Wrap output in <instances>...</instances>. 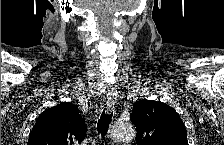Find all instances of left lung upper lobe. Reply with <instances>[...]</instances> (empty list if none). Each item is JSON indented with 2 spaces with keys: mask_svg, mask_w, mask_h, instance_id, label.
<instances>
[{
  "mask_svg": "<svg viewBox=\"0 0 224 145\" xmlns=\"http://www.w3.org/2000/svg\"><path fill=\"white\" fill-rule=\"evenodd\" d=\"M131 121L137 129V145H188L183 121L165 103L147 99L137 101Z\"/></svg>",
  "mask_w": 224,
  "mask_h": 145,
  "instance_id": "left-lung-upper-lobe-1",
  "label": "left lung upper lobe"
}]
</instances>
